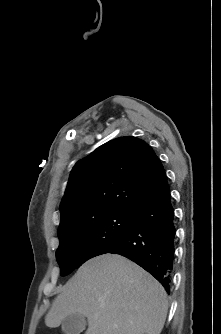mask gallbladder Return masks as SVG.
<instances>
[{
	"label": "gallbladder",
	"mask_w": 221,
	"mask_h": 334,
	"mask_svg": "<svg viewBox=\"0 0 221 334\" xmlns=\"http://www.w3.org/2000/svg\"><path fill=\"white\" fill-rule=\"evenodd\" d=\"M85 316L79 313L71 314L62 321V331L64 334H80L85 330Z\"/></svg>",
	"instance_id": "1"
}]
</instances>
